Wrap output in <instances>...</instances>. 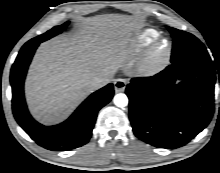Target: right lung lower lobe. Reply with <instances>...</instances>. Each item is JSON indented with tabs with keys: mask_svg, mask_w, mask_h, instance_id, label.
I'll list each match as a JSON object with an SVG mask.
<instances>
[{
	"mask_svg": "<svg viewBox=\"0 0 220 173\" xmlns=\"http://www.w3.org/2000/svg\"><path fill=\"white\" fill-rule=\"evenodd\" d=\"M39 43V41L27 42L11 68L14 117L38 145L48 150L59 151L80 147L90 139L98 111L112 99L113 84H108L91 94L64 123L51 127L39 124L29 114L23 92L26 72Z\"/></svg>",
	"mask_w": 220,
	"mask_h": 173,
	"instance_id": "98d812e1",
	"label": "right lung lower lobe"
}]
</instances>
